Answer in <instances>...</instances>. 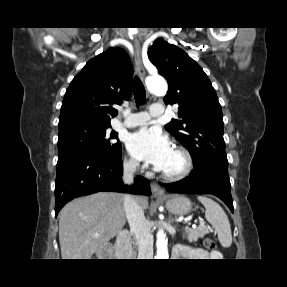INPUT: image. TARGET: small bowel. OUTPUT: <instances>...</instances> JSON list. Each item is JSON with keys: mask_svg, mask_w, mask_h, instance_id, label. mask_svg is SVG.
<instances>
[{"mask_svg": "<svg viewBox=\"0 0 287 287\" xmlns=\"http://www.w3.org/2000/svg\"><path fill=\"white\" fill-rule=\"evenodd\" d=\"M211 255L217 256L216 253H209L201 248H190L183 245L175 247L173 252V256L175 258H184V259H207Z\"/></svg>", "mask_w": 287, "mask_h": 287, "instance_id": "small-bowel-1", "label": "small bowel"}]
</instances>
